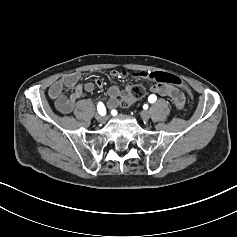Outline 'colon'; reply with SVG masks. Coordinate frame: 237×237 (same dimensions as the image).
<instances>
[{
    "label": "colon",
    "mask_w": 237,
    "mask_h": 237,
    "mask_svg": "<svg viewBox=\"0 0 237 237\" xmlns=\"http://www.w3.org/2000/svg\"><path fill=\"white\" fill-rule=\"evenodd\" d=\"M149 78L155 80L158 83L172 84L184 89L190 96L192 92L190 88L176 75L167 72H150ZM145 94L144 86L140 84L131 85L127 88L126 95L120 102L121 107H128L134 101L141 99Z\"/></svg>",
    "instance_id": "1"
}]
</instances>
